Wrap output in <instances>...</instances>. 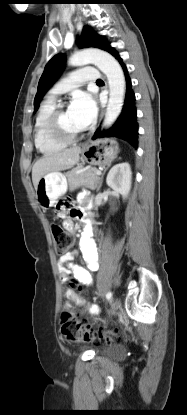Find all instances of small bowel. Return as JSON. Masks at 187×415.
I'll return each mask as SVG.
<instances>
[{
  "mask_svg": "<svg viewBox=\"0 0 187 415\" xmlns=\"http://www.w3.org/2000/svg\"><path fill=\"white\" fill-rule=\"evenodd\" d=\"M70 216L74 219H80L87 222V218L84 213L77 209L70 210ZM64 226L68 230L74 228V223L71 218L64 221ZM80 251L83 259L86 263V268L78 266L73 263L78 252H69L66 255L60 256L58 260L59 274L63 282L69 279H74L77 283L76 286L84 285L91 286L93 284V278L91 272L98 269V253L95 242L87 232L80 241ZM63 296L69 300L68 305H87L88 311L91 315H98L100 308L97 304H87L85 300L72 288H66L63 290Z\"/></svg>",
  "mask_w": 187,
  "mask_h": 415,
  "instance_id": "c3829d8e",
  "label": "small bowel"
}]
</instances>
